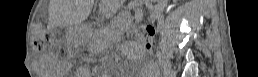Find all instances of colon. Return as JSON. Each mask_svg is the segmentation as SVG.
Segmentation results:
<instances>
[{
  "mask_svg": "<svg viewBox=\"0 0 258 77\" xmlns=\"http://www.w3.org/2000/svg\"><path fill=\"white\" fill-rule=\"evenodd\" d=\"M154 37L153 27L150 24H142L133 31V38L140 45L149 49ZM50 42V36L42 23L34 25V44L38 50H43Z\"/></svg>",
  "mask_w": 258,
  "mask_h": 77,
  "instance_id": "5ec220e1",
  "label": "colon"
}]
</instances>
